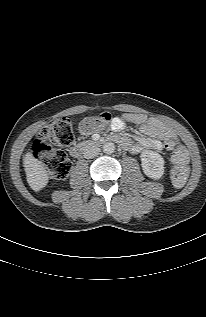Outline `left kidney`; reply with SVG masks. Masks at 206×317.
Returning <instances> with one entry per match:
<instances>
[{"mask_svg": "<svg viewBox=\"0 0 206 317\" xmlns=\"http://www.w3.org/2000/svg\"><path fill=\"white\" fill-rule=\"evenodd\" d=\"M142 169L145 175L158 180L164 174V159L163 157L150 150L143 151L141 153Z\"/></svg>", "mask_w": 206, "mask_h": 317, "instance_id": "1", "label": "left kidney"}]
</instances>
